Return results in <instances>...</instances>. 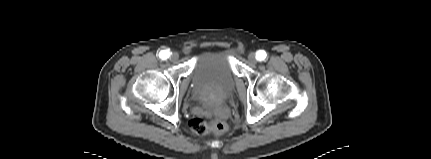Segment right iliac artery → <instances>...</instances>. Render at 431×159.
Returning <instances> with one entry per match:
<instances>
[{
    "label": "right iliac artery",
    "mask_w": 431,
    "mask_h": 159,
    "mask_svg": "<svg viewBox=\"0 0 431 159\" xmlns=\"http://www.w3.org/2000/svg\"><path fill=\"white\" fill-rule=\"evenodd\" d=\"M169 56H170V51H169V50H162V51L159 53V57H160L161 59H163V60H165V59L169 58Z\"/></svg>",
    "instance_id": "obj_1"
}]
</instances>
